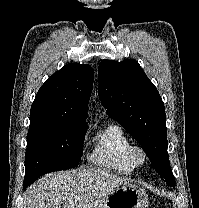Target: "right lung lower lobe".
<instances>
[{"label": "right lung lower lobe", "mask_w": 199, "mask_h": 208, "mask_svg": "<svg viewBox=\"0 0 199 208\" xmlns=\"http://www.w3.org/2000/svg\"><path fill=\"white\" fill-rule=\"evenodd\" d=\"M30 184H31V182H24V183H23V188L27 187V186L30 185Z\"/></svg>", "instance_id": "98d812e1"}]
</instances>
